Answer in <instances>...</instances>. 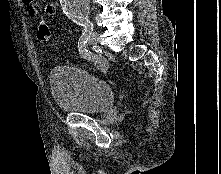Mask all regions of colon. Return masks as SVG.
<instances>
[{"label": "colon", "instance_id": "1", "mask_svg": "<svg viewBox=\"0 0 221 174\" xmlns=\"http://www.w3.org/2000/svg\"><path fill=\"white\" fill-rule=\"evenodd\" d=\"M37 38L45 45H49L51 43V30L45 20H40L38 23Z\"/></svg>", "mask_w": 221, "mask_h": 174}]
</instances>
